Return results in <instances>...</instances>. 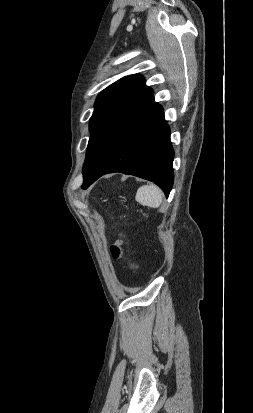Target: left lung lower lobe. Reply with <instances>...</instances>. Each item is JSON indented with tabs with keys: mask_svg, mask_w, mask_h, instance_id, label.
<instances>
[{
	"mask_svg": "<svg viewBox=\"0 0 253 413\" xmlns=\"http://www.w3.org/2000/svg\"><path fill=\"white\" fill-rule=\"evenodd\" d=\"M174 151L163 109H155L125 138L94 175L83 181L86 189L100 176L122 172L153 181L168 197L172 189Z\"/></svg>",
	"mask_w": 253,
	"mask_h": 413,
	"instance_id": "0a47b994",
	"label": "left lung lower lobe"
}]
</instances>
